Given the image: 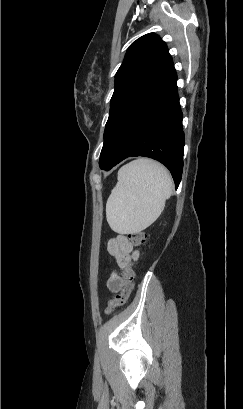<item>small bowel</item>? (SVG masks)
I'll return each instance as SVG.
<instances>
[{
    "mask_svg": "<svg viewBox=\"0 0 243 409\" xmlns=\"http://www.w3.org/2000/svg\"><path fill=\"white\" fill-rule=\"evenodd\" d=\"M108 252L113 256L119 267L128 266L133 256L137 253L133 245L128 241L125 235L120 234L116 238L110 239L107 245ZM122 278L115 272H111L107 280V287L110 291L116 292L120 289Z\"/></svg>",
    "mask_w": 243,
    "mask_h": 409,
    "instance_id": "c3829d8e",
    "label": "small bowel"
}]
</instances>
